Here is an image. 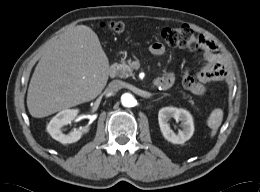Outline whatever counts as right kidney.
<instances>
[{
    "label": "right kidney",
    "mask_w": 260,
    "mask_h": 192,
    "mask_svg": "<svg viewBox=\"0 0 260 192\" xmlns=\"http://www.w3.org/2000/svg\"><path fill=\"white\" fill-rule=\"evenodd\" d=\"M77 109H66L56 114L47 126L48 133L55 140L67 144L78 141L84 133L89 131V127H83L80 129H74L69 134H63L61 128L73 121L78 115Z\"/></svg>",
    "instance_id": "ca27d5eb"
}]
</instances>
